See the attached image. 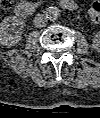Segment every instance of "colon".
<instances>
[{
  "instance_id": "colon-1",
  "label": "colon",
  "mask_w": 100,
  "mask_h": 118,
  "mask_svg": "<svg viewBox=\"0 0 100 118\" xmlns=\"http://www.w3.org/2000/svg\"><path fill=\"white\" fill-rule=\"evenodd\" d=\"M12 4V0H2V6L4 9H9ZM89 14L94 22H97L100 18V5L94 2L90 5Z\"/></svg>"
}]
</instances>
